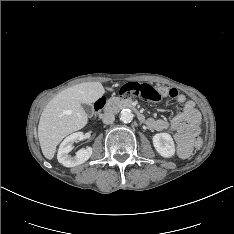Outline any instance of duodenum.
<instances>
[{
    "mask_svg": "<svg viewBox=\"0 0 234 234\" xmlns=\"http://www.w3.org/2000/svg\"><path fill=\"white\" fill-rule=\"evenodd\" d=\"M101 107H103V111L105 113H112V112L119 111L122 109H130L136 113L137 118L141 122L147 123V119L145 115L141 112L139 107L131 100H114L105 105L104 103H102Z\"/></svg>",
    "mask_w": 234,
    "mask_h": 234,
    "instance_id": "duodenum-1",
    "label": "duodenum"
}]
</instances>
